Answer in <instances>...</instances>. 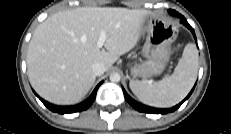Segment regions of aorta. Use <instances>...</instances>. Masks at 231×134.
<instances>
[{"instance_id": "1", "label": "aorta", "mask_w": 231, "mask_h": 134, "mask_svg": "<svg viewBox=\"0 0 231 134\" xmlns=\"http://www.w3.org/2000/svg\"><path fill=\"white\" fill-rule=\"evenodd\" d=\"M120 79H121V76H120L119 73L113 72V73L110 74V81L111 82H115L116 83V82H119Z\"/></svg>"}]
</instances>
